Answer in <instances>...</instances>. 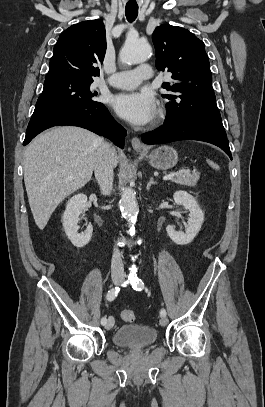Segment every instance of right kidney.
<instances>
[{
  "label": "right kidney",
  "instance_id": "ca27d5eb",
  "mask_svg": "<svg viewBox=\"0 0 265 407\" xmlns=\"http://www.w3.org/2000/svg\"><path fill=\"white\" fill-rule=\"evenodd\" d=\"M86 206V195L77 194L68 201L62 217L64 231L71 243L77 248L86 246L92 237L93 227L91 224L87 226L84 232L78 233L79 216L85 211Z\"/></svg>",
  "mask_w": 265,
  "mask_h": 407
}]
</instances>
